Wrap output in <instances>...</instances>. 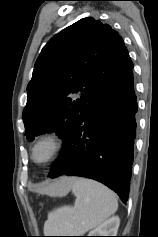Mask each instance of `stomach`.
Wrapping results in <instances>:
<instances>
[{
  "mask_svg": "<svg viewBox=\"0 0 158 237\" xmlns=\"http://www.w3.org/2000/svg\"><path fill=\"white\" fill-rule=\"evenodd\" d=\"M61 179H64V177ZM71 187H72V184H65V185L61 186L60 188H58L54 195H65L69 192Z\"/></svg>",
  "mask_w": 158,
  "mask_h": 237,
  "instance_id": "stomach-1",
  "label": "stomach"
}]
</instances>
